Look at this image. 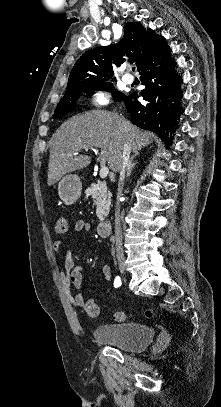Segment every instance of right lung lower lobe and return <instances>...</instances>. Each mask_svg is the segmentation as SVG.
I'll return each mask as SVG.
<instances>
[{
  "label": "right lung lower lobe",
  "instance_id": "right-lung-lower-lobe-1",
  "mask_svg": "<svg viewBox=\"0 0 221 407\" xmlns=\"http://www.w3.org/2000/svg\"><path fill=\"white\" fill-rule=\"evenodd\" d=\"M176 68V62L171 58L170 48L166 44L139 71L142 85H145L141 96L148 103L141 104L136 100V93L119 99L125 103L133 124L153 131L169 142L173 139L179 116L183 112L180 106L182 78L176 73Z\"/></svg>",
  "mask_w": 221,
  "mask_h": 407
}]
</instances>
